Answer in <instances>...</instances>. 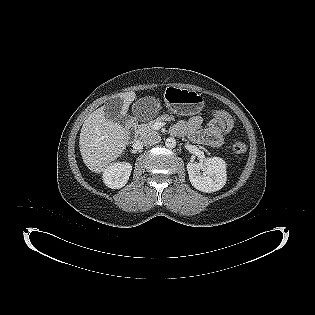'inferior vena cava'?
<instances>
[{
    "label": "inferior vena cava",
    "mask_w": 315,
    "mask_h": 315,
    "mask_svg": "<svg viewBox=\"0 0 315 315\" xmlns=\"http://www.w3.org/2000/svg\"><path fill=\"white\" fill-rule=\"evenodd\" d=\"M161 141V137L159 134H150L147 135L145 138L142 139V143L146 146H152Z\"/></svg>",
    "instance_id": "602c4592"
}]
</instances>
